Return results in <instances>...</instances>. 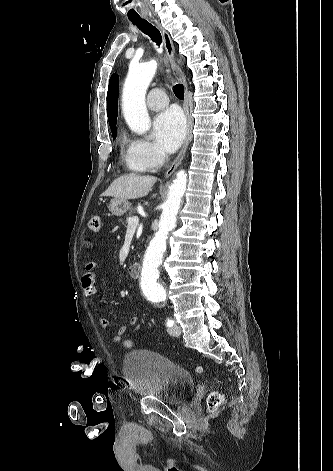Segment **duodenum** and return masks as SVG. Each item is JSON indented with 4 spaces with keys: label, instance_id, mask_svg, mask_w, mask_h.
<instances>
[{
    "label": "duodenum",
    "instance_id": "obj_1",
    "mask_svg": "<svg viewBox=\"0 0 333 471\" xmlns=\"http://www.w3.org/2000/svg\"><path fill=\"white\" fill-rule=\"evenodd\" d=\"M141 264L138 263V262H135V263H132L129 267H128V273L130 274L131 277L133 278H137L140 276V273H141Z\"/></svg>",
    "mask_w": 333,
    "mask_h": 471
}]
</instances>
